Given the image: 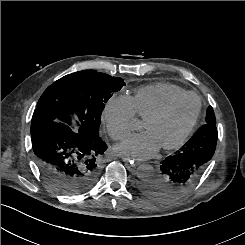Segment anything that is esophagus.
<instances>
[{
    "label": "esophagus",
    "instance_id": "34e87169",
    "mask_svg": "<svg viewBox=\"0 0 245 245\" xmlns=\"http://www.w3.org/2000/svg\"><path fill=\"white\" fill-rule=\"evenodd\" d=\"M122 160L124 162H127L131 167H137L140 164V162L137 161L136 159L129 158V157H122Z\"/></svg>",
    "mask_w": 245,
    "mask_h": 245
}]
</instances>
